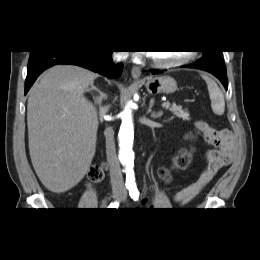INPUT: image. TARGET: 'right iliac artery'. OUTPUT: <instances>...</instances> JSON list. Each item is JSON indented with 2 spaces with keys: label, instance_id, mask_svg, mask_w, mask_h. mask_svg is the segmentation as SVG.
Segmentation results:
<instances>
[{
  "label": "right iliac artery",
  "instance_id": "82829eb1",
  "mask_svg": "<svg viewBox=\"0 0 260 260\" xmlns=\"http://www.w3.org/2000/svg\"><path fill=\"white\" fill-rule=\"evenodd\" d=\"M119 206V201H114L112 202L110 205H109V209H115V208H118Z\"/></svg>",
  "mask_w": 260,
  "mask_h": 260
}]
</instances>
